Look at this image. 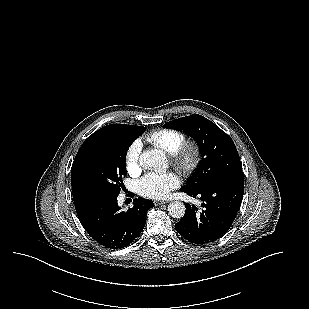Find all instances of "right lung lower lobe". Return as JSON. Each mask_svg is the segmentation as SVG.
Instances as JSON below:
<instances>
[{
	"instance_id": "obj_1",
	"label": "right lung lower lobe",
	"mask_w": 309,
	"mask_h": 309,
	"mask_svg": "<svg viewBox=\"0 0 309 309\" xmlns=\"http://www.w3.org/2000/svg\"><path fill=\"white\" fill-rule=\"evenodd\" d=\"M151 200L138 198L134 206L122 211L117 196L95 197L76 205L78 218L87 233L98 244L111 249L130 245L142 232Z\"/></svg>"
}]
</instances>
